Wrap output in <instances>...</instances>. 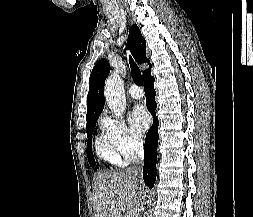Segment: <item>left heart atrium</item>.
<instances>
[{
    "mask_svg": "<svg viewBox=\"0 0 253 217\" xmlns=\"http://www.w3.org/2000/svg\"><path fill=\"white\" fill-rule=\"evenodd\" d=\"M131 125L139 133L145 132L150 125V117L142 105H137L130 115Z\"/></svg>",
    "mask_w": 253,
    "mask_h": 217,
    "instance_id": "left-heart-atrium-1",
    "label": "left heart atrium"
}]
</instances>
